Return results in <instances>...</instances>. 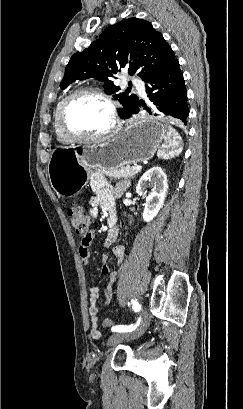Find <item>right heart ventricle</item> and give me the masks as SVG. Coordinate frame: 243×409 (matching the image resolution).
<instances>
[{
	"mask_svg": "<svg viewBox=\"0 0 243 409\" xmlns=\"http://www.w3.org/2000/svg\"><path fill=\"white\" fill-rule=\"evenodd\" d=\"M64 99L65 98L60 99L57 102V104L55 106V109H54V130H55V134L57 136V139L61 143L67 144V143H70L71 141L68 138H66L64 136V134L62 133V131L60 129V126H59V121H58L59 110H60V107H61L62 102H63Z\"/></svg>",
	"mask_w": 243,
	"mask_h": 409,
	"instance_id": "e07e8e85",
	"label": "right heart ventricle"
}]
</instances>
